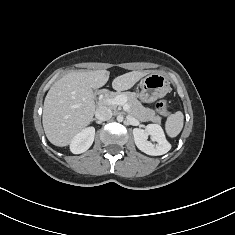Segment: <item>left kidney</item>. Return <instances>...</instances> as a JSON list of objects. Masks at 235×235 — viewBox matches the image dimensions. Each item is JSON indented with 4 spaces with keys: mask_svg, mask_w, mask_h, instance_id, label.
Returning a JSON list of instances; mask_svg holds the SVG:
<instances>
[{
    "mask_svg": "<svg viewBox=\"0 0 235 235\" xmlns=\"http://www.w3.org/2000/svg\"><path fill=\"white\" fill-rule=\"evenodd\" d=\"M133 135L137 148L148 155H163L171 148V145L166 140L164 131L159 124H148L145 129L134 128ZM149 135L153 141L157 142L156 146L150 141H147Z\"/></svg>",
    "mask_w": 235,
    "mask_h": 235,
    "instance_id": "5707ae66",
    "label": "left kidney"
}]
</instances>
